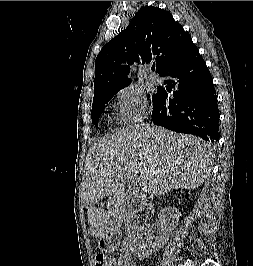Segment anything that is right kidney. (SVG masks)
Returning a JSON list of instances; mask_svg holds the SVG:
<instances>
[{
	"instance_id": "right-kidney-1",
	"label": "right kidney",
	"mask_w": 253,
	"mask_h": 266,
	"mask_svg": "<svg viewBox=\"0 0 253 266\" xmlns=\"http://www.w3.org/2000/svg\"><path fill=\"white\" fill-rule=\"evenodd\" d=\"M153 226H139L136 228L134 234L129 238H133L131 244V251L138 257H147L152 253L158 251L167 241V234L153 235Z\"/></svg>"
}]
</instances>
